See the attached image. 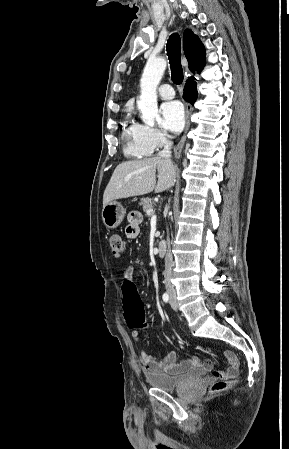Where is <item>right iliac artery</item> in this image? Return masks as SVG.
Here are the masks:
<instances>
[{
	"mask_svg": "<svg viewBox=\"0 0 289 449\" xmlns=\"http://www.w3.org/2000/svg\"><path fill=\"white\" fill-rule=\"evenodd\" d=\"M162 298H163V301L166 303L169 301V295L167 293H164Z\"/></svg>",
	"mask_w": 289,
	"mask_h": 449,
	"instance_id": "1",
	"label": "right iliac artery"
}]
</instances>
